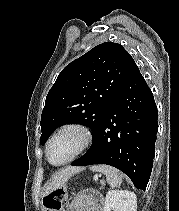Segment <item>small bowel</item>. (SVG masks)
Here are the masks:
<instances>
[{
  "mask_svg": "<svg viewBox=\"0 0 179 211\" xmlns=\"http://www.w3.org/2000/svg\"><path fill=\"white\" fill-rule=\"evenodd\" d=\"M66 211H103V198L93 190L80 192L73 197Z\"/></svg>",
  "mask_w": 179,
  "mask_h": 211,
  "instance_id": "obj_1",
  "label": "small bowel"
}]
</instances>
